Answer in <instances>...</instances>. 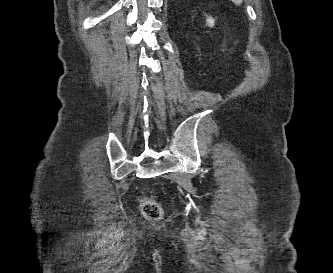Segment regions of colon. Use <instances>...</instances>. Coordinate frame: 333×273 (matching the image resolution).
<instances>
[{"label": "colon", "mask_w": 333, "mask_h": 273, "mask_svg": "<svg viewBox=\"0 0 333 273\" xmlns=\"http://www.w3.org/2000/svg\"><path fill=\"white\" fill-rule=\"evenodd\" d=\"M143 214L152 220H157L162 215L161 206L152 199H145L141 206Z\"/></svg>", "instance_id": "5ec220e1"}]
</instances>
